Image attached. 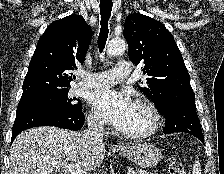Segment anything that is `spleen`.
<instances>
[{
  "mask_svg": "<svg viewBox=\"0 0 224 174\" xmlns=\"http://www.w3.org/2000/svg\"><path fill=\"white\" fill-rule=\"evenodd\" d=\"M201 165L198 160L193 163V174H201Z\"/></svg>",
  "mask_w": 224,
  "mask_h": 174,
  "instance_id": "obj_1",
  "label": "spleen"
}]
</instances>
